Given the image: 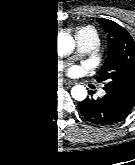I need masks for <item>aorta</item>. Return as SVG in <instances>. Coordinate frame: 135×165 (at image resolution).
<instances>
[{"label": "aorta", "instance_id": "1", "mask_svg": "<svg viewBox=\"0 0 135 165\" xmlns=\"http://www.w3.org/2000/svg\"><path fill=\"white\" fill-rule=\"evenodd\" d=\"M72 47H73V43L71 38L70 37L63 38L58 42V53L62 55L70 53ZM71 94L74 99L78 101H82L87 96V90L82 85H75L71 90Z\"/></svg>", "mask_w": 135, "mask_h": 165}]
</instances>
